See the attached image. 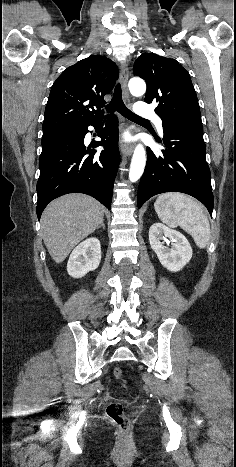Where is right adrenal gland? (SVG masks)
<instances>
[{"label":"right adrenal gland","mask_w":236,"mask_h":467,"mask_svg":"<svg viewBox=\"0 0 236 467\" xmlns=\"http://www.w3.org/2000/svg\"><path fill=\"white\" fill-rule=\"evenodd\" d=\"M100 227H102L103 229H105L104 221H102L101 225H100L98 228H100Z\"/></svg>","instance_id":"2a0ac1e0"}]
</instances>
